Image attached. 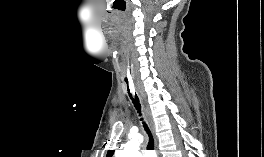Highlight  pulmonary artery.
I'll return each mask as SVG.
<instances>
[{
    "label": "pulmonary artery",
    "mask_w": 264,
    "mask_h": 157,
    "mask_svg": "<svg viewBox=\"0 0 264 157\" xmlns=\"http://www.w3.org/2000/svg\"><path fill=\"white\" fill-rule=\"evenodd\" d=\"M153 153L151 152H149V151H145L144 153H143V157H149V156H151ZM154 155V154H153Z\"/></svg>",
    "instance_id": "e3ab8cb5"
}]
</instances>
